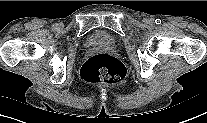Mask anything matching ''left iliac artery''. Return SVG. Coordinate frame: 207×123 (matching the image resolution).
<instances>
[{
    "label": "left iliac artery",
    "mask_w": 207,
    "mask_h": 123,
    "mask_svg": "<svg viewBox=\"0 0 207 123\" xmlns=\"http://www.w3.org/2000/svg\"><path fill=\"white\" fill-rule=\"evenodd\" d=\"M155 23H156V24H161V20H160L159 18H157V19L155 20Z\"/></svg>",
    "instance_id": "obj_1"
}]
</instances>
